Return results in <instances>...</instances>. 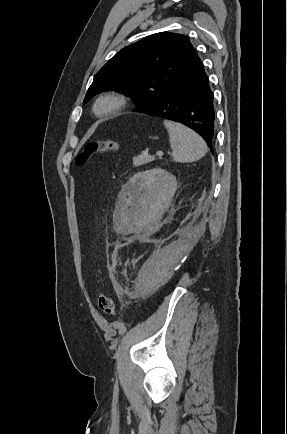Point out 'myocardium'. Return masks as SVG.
Returning a JSON list of instances; mask_svg holds the SVG:
<instances>
[{"instance_id":"myocardium-1","label":"myocardium","mask_w":287,"mask_h":434,"mask_svg":"<svg viewBox=\"0 0 287 434\" xmlns=\"http://www.w3.org/2000/svg\"><path fill=\"white\" fill-rule=\"evenodd\" d=\"M126 105V99L118 92H107L99 95L93 104V112L97 117H111L118 114Z\"/></svg>"}]
</instances>
